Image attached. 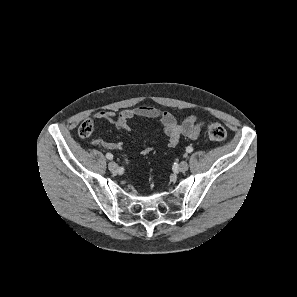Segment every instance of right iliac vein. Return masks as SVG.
Wrapping results in <instances>:
<instances>
[{"label": "right iliac vein", "mask_w": 297, "mask_h": 297, "mask_svg": "<svg viewBox=\"0 0 297 297\" xmlns=\"http://www.w3.org/2000/svg\"><path fill=\"white\" fill-rule=\"evenodd\" d=\"M108 168H109V170H110L111 172L115 173V172L118 171L119 166H118V164H117L116 162L111 161V162L108 164Z\"/></svg>", "instance_id": "63e3f726"}]
</instances>
